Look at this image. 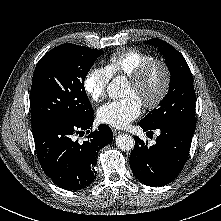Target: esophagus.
<instances>
[{
  "label": "esophagus",
  "mask_w": 221,
  "mask_h": 221,
  "mask_svg": "<svg viewBox=\"0 0 221 221\" xmlns=\"http://www.w3.org/2000/svg\"><path fill=\"white\" fill-rule=\"evenodd\" d=\"M113 134H114L115 136H117V135L121 134V131H120V130H117V129H113Z\"/></svg>",
  "instance_id": "34e87169"
}]
</instances>
